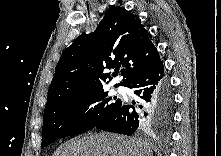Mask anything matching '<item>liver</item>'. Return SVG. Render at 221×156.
Listing matches in <instances>:
<instances>
[{"label": "liver", "instance_id": "1", "mask_svg": "<svg viewBox=\"0 0 221 156\" xmlns=\"http://www.w3.org/2000/svg\"><path fill=\"white\" fill-rule=\"evenodd\" d=\"M153 146L134 137L90 134L64 143L55 156H151Z\"/></svg>", "mask_w": 221, "mask_h": 156}]
</instances>
